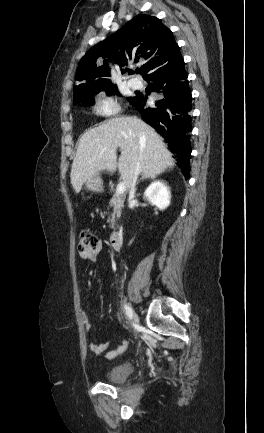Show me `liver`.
Instances as JSON below:
<instances>
[{
	"mask_svg": "<svg viewBox=\"0 0 264 433\" xmlns=\"http://www.w3.org/2000/svg\"><path fill=\"white\" fill-rule=\"evenodd\" d=\"M118 147L121 155L117 162ZM137 163L143 175L153 177L174 167L163 139L144 121L135 116L108 119L80 138L70 173L72 187L79 193L88 178L118 168L128 189Z\"/></svg>",
	"mask_w": 264,
	"mask_h": 433,
	"instance_id": "liver-1",
	"label": "liver"
}]
</instances>
